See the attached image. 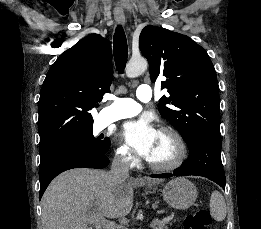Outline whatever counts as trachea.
<instances>
[{"label": "trachea", "mask_w": 261, "mask_h": 229, "mask_svg": "<svg viewBox=\"0 0 261 229\" xmlns=\"http://www.w3.org/2000/svg\"><path fill=\"white\" fill-rule=\"evenodd\" d=\"M113 54L117 70L123 73L128 59V44L122 26H117L114 34Z\"/></svg>", "instance_id": "obj_1"}]
</instances>
